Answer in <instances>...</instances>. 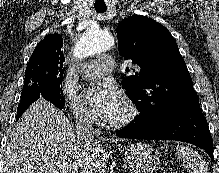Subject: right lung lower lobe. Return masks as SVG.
<instances>
[{
	"mask_svg": "<svg viewBox=\"0 0 219 173\" xmlns=\"http://www.w3.org/2000/svg\"><path fill=\"white\" fill-rule=\"evenodd\" d=\"M41 94L39 93H30L27 95L21 96L20 103L17 108V119L16 121L21 117V115L24 113V111L34 102L36 101ZM42 97V96H41ZM54 104V103H53ZM55 105V104H54ZM56 107L62 109L63 107H59L55 105Z\"/></svg>",
	"mask_w": 219,
	"mask_h": 173,
	"instance_id": "right-lung-lower-lobe-1",
	"label": "right lung lower lobe"
}]
</instances>
